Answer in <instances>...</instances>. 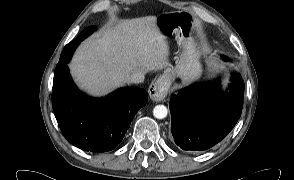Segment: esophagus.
<instances>
[{
  "label": "esophagus",
  "mask_w": 294,
  "mask_h": 180,
  "mask_svg": "<svg viewBox=\"0 0 294 180\" xmlns=\"http://www.w3.org/2000/svg\"><path fill=\"white\" fill-rule=\"evenodd\" d=\"M172 82L173 76L171 74H163L155 82L151 83L148 88L151 100L155 102L165 100Z\"/></svg>",
  "instance_id": "1"
}]
</instances>
